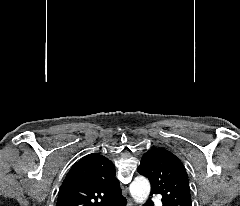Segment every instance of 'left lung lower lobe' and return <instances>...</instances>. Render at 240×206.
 <instances>
[{
    "mask_svg": "<svg viewBox=\"0 0 240 206\" xmlns=\"http://www.w3.org/2000/svg\"><path fill=\"white\" fill-rule=\"evenodd\" d=\"M146 206H153L152 202H148V204Z\"/></svg>",
    "mask_w": 240,
    "mask_h": 206,
    "instance_id": "1",
    "label": "left lung lower lobe"
}]
</instances>
